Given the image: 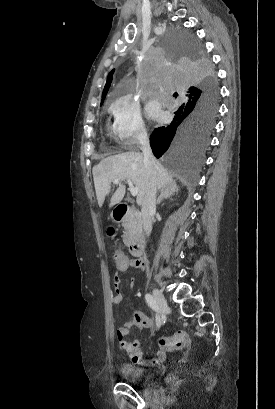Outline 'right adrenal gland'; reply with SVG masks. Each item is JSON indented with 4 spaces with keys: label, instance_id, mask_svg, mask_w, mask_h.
Wrapping results in <instances>:
<instances>
[{
    "label": "right adrenal gland",
    "instance_id": "1",
    "mask_svg": "<svg viewBox=\"0 0 275 409\" xmlns=\"http://www.w3.org/2000/svg\"><path fill=\"white\" fill-rule=\"evenodd\" d=\"M179 188L175 186V184H167L165 188H162L158 198L156 205H160V202H162L163 198H170L172 194H175V192H178Z\"/></svg>",
    "mask_w": 275,
    "mask_h": 409
}]
</instances>
